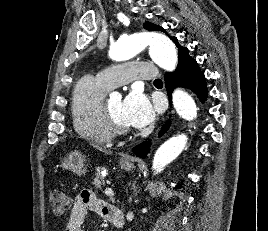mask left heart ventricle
I'll return each mask as SVG.
<instances>
[{
    "mask_svg": "<svg viewBox=\"0 0 268 231\" xmlns=\"http://www.w3.org/2000/svg\"><path fill=\"white\" fill-rule=\"evenodd\" d=\"M108 105L116 117V119L124 126L129 127L130 125L127 123L125 116H124V108H123V101L122 99H114L108 102Z\"/></svg>",
    "mask_w": 268,
    "mask_h": 231,
    "instance_id": "obj_1",
    "label": "left heart ventricle"
}]
</instances>
